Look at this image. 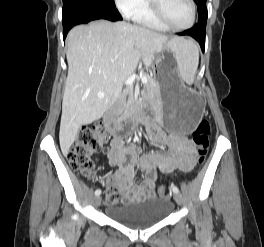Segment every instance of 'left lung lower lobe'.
<instances>
[{
    "label": "left lung lower lobe",
    "instance_id": "0a47b994",
    "mask_svg": "<svg viewBox=\"0 0 264 247\" xmlns=\"http://www.w3.org/2000/svg\"><path fill=\"white\" fill-rule=\"evenodd\" d=\"M205 29H206V23L198 22L193 28L178 33L179 35H189L192 36L194 39H196L200 46L202 51L204 52L205 49Z\"/></svg>",
    "mask_w": 264,
    "mask_h": 247
}]
</instances>
